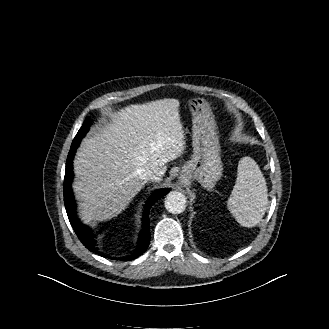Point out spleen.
I'll use <instances>...</instances> for the list:
<instances>
[{
    "mask_svg": "<svg viewBox=\"0 0 329 329\" xmlns=\"http://www.w3.org/2000/svg\"><path fill=\"white\" fill-rule=\"evenodd\" d=\"M267 205V186L260 168L251 157L241 158L228 210L240 225L253 227L263 218Z\"/></svg>",
    "mask_w": 329,
    "mask_h": 329,
    "instance_id": "obj_1",
    "label": "spleen"
}]
</instances>
